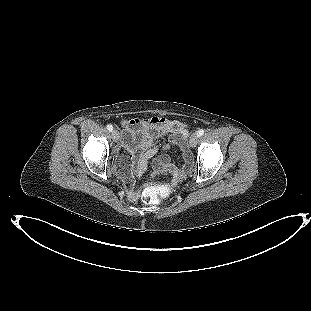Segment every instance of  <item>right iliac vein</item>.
<instances>
[{"label": "right iliac vein", "mask_w": 311, "mask_h": 311, "mask_svg": "<svg viewBox=\"0 0 311 311\" xmlns=\"http://www.w3.org/2000/svg\"><path fill=\"white\" fill-rule=\"evenodd\" d=\"M111 136L115 142H117L120 138V134H119L118 130H116V129L112 130Z\"/></svg>", "instance_id": "63e3f726"}]
</instances>
